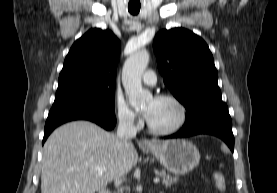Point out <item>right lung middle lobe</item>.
<instances>
[{"instance_id":"right-lung-middle-lobe-1","label":"right lung middle lobe","mask_w":277,"mask_h":193,"mask_svg":"<svg viewBox=\"0 0 277 193\" xmlns=\"http://www.w3.org/2000/svg\"><path fill=\"white\" fill-rule=\"evenodd\" d=\"M114 99V86H85L56 92L54 104L87 106L114 116Z\"/></svg>"}]
</instances>
